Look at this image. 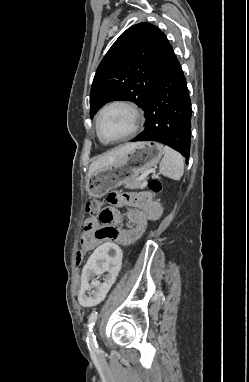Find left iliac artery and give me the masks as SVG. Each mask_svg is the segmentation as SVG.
I'll return each instance as SVG.
<instances>
[{
    "mask_svg": "<svg viewBox=\"0 0 249 382\" xmlns=\"http://www.w3.org/2000/svg\"><path fill=\"white\" fill-rule=\"evenodd\" d=\"M98 313L92 312L88 318V332H87V344L90 351L96 350L98 348L96 337L93 333V327L97 320Z\"/></svg>",
    "mask_w": 249,
    "mask_h": 382,
    "instance_id": "44dca946",
    "label": "left iliac artery"
}]
</instances>
